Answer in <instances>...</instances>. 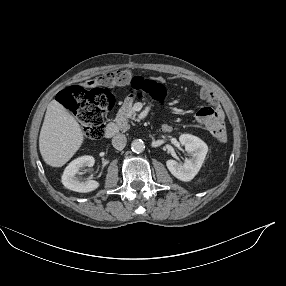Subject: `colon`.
Returning a JSON list of instances; mask_svg holds the SVG:
<instances>
[{
  "label": "colon",
  "mask_w": 286,
  "mask_h": 286,
  "mask_svg": "<svg viewBox=\"0 0 286 286\" xmlns=\"http://www.w3.org/2000/svg\"><path fill=\"white\" fill-rule=\"evenodd\" d=\"M113 76L114 72H108L102 79H111ZM132 88L135 91L145 92L152 98H160L163 95V86L156 82L134 78ZM58 100L61 105L73 112L88 140H95L102 136L105 115L115 105L114 97L101 88L85 90L78 86H70L59 94ZM205 132L209 138L221 143L227 139L226 126L218 118L207 122Z\"/></svg>",
  "instance_id": "5ec220e1"
}]
</instances>
